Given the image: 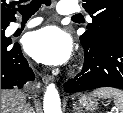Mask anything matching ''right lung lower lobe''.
<instances>
[{
  "mask_svg": "<svg viewBox=\"0 0 123 113\" xmlns=\"http://www.w3.org/2000/svg\"><path fill=\"white\" fill-rule=\"evenodd\" d=\"M8 25L9 22H2L1 30L5 31ZM10 44L1 43V89L22 88L27 81L34 80V73L23 57L20 45Z\"/></svg>",
  "mask_w": 123,
  "mask_h": 113,
  "instance_id": "1",
  "label": "right lung lower lobe"
}]
</instances>
